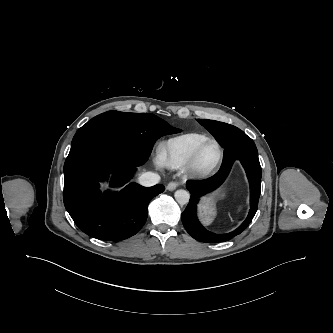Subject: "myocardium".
Returning <instances> with one entry per match:
<instances>
[{
  "instance_id": "obj_1",
  "label": "myocardium",
  "mask_w": 333,
  "mask_h": 333,
  "mask_svg": "<svg viewBox=\"0 0 333 333\" xmlns=\"http://www.w3.org/2000/svg\"><path fill=\"white\" fill-rule=\"evenodd\" d=\"M214 145L218 150V156L216 160L209 166H202L200 163V158L203 150L209 146ZM224 157V150L220 143L212 138H209L205 142H203L194 152L190 161L187 164V169L197 177H206L213 173L221 164Z\"/></svg>"
}]
</instances>
